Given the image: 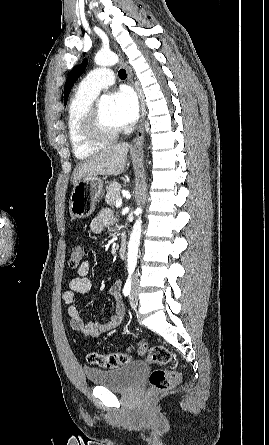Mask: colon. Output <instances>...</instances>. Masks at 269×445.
Wrapping results in <instances>:
<instances>
[{
	"label": "colon",
	"instance_id": "5ec220e1",
	"mask_svg": "<svg viewBox=\"0 0 269 445\" xmlns=\"http://www.w3.org/2000/svg\"><path fill=\"white\" fill-rule=\"evenodd\" d=\"M83 250L79 245H74L69 251V264L72 268H77L82 263ZM138 352L142 355L146 354L150 362L161 366L153 370L149 376V388L151 393H161L170 389L179 381V375L172 370L163 368L172 360L171 352L164 346L155 345L150 348L147 344L140 342ZM89 363L104 368H114L127 364L131 360L128 353H108L101 354L91 352L87 356Z\"/></svg>",
	"mask_w": 269,
	"mask_h": 445
}]
</instances>
